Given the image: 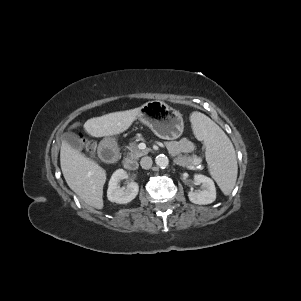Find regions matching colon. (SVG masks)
<instances>
[{
  "label": "colon",
  "mask_w": 301,
  "mask_h": 301,
  "mask_svg": "<svg viewBox=\"0 0 301 301\" xmlns=\"http://www.w3.org/2000/svg\"><path fill=\"white\" fill-rule=\"evenodd\" d=\"M83 143H84L85 150L89 154H94L95 153L96 145L93 141L88 140V139H83Z\"/></svg>",
  "instance_id": "obj_1"
}]
</instances>
